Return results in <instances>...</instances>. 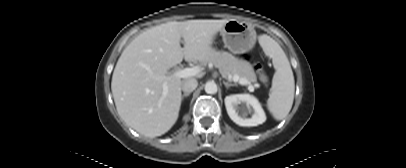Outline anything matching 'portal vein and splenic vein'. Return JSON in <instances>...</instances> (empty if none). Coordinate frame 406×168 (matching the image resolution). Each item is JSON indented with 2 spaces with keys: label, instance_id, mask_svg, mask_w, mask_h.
<instances>
[{
  "label": "portal vein and splenic vein",
  "instance_id": "obj_1",
  "mask_svg": "<svg viewBox=\"0 0 406 168\" xmlns=\"http://www.w3.org/2000/svg\"><path fill=\"white\" fill-rule=\"evenodd\" d=\"M200 72V67L198 66H194L192 68H185V69H178L177 71L174 72V76L175 77H179V78H187L190 76H195ZM232 80L234 82H238L241 85H246L249 84L248 81L244 78H240L238 75H234L232 77ZM250 92L254 91V86L249 85L248 87ZM168 93V86L166 83L163 84V95H166Z\"/></svg>",
  "mask_w": 406,
  "mask_h": 168
}]
</instances>
